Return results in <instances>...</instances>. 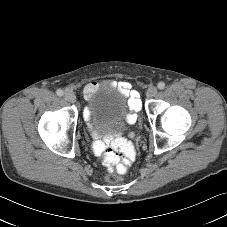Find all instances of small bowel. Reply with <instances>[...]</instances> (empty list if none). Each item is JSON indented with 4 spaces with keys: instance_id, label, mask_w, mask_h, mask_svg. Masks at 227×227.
Masks as SVG:
<instances>
[{
    "instance_id": "1",
    "label": "small bowel",
    "mask_w": 227,
    "mask_h": 227,
    "mask_svg": "<svg viewBox=\"0 0 227 227\" xmlns=\"http://www.w3.org/2000/svg\"><path fill=\"white\" fill-rule=\"evenodd\" d=\"M99 82H90L84 87V95L86 98L90 97L99 87H100ZM110 86L113 88H117L120 93L126 97L129 98L128 104L131 110L137 111L140 107V100H139V95L138 92L133 90L131 87V84L129 82H111ZM86 118H88L89 113L88 111L85 112ZM128 122L132 123L136 120V115L135 114H129L127 118ZM106 145L96 141L94 143V150L96 153H101L106 149ZM122 153L124 155V159L121 162L117 163V168L121 169L122 166H127L131 159H132V152L130 148L127 145L123 146Z\"/></svg>"
}]
</instances>
